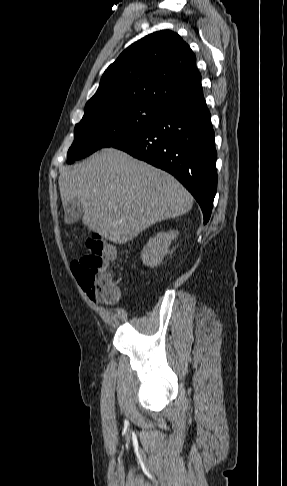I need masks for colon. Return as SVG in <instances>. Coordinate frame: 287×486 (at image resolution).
<instances>
[{
  "label": "colon",
  "instance_id": "colon-1",
  "mask_svg": "<svg viewBox=\"0 0 287 486\" xmlns=\"http://www.w3.org/2000/svg\"><path fill=\"white\" fill-rule=\"evenodd\" d=\"M88 251L72 263V272L88 297L96 302L114 304L120 298V291L107 271L114 259V247L94 234L86 241Z\"/></svg>",
  "mask_w": 287,
  "mask_h": 486
}]
</instances>
